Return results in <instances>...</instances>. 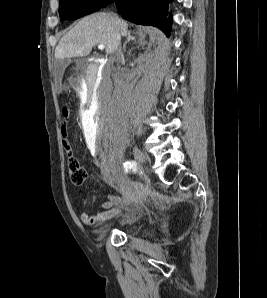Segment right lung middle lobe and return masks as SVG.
Masks as SVG:
<instances>
[{
  "mask_svg": "<svg viewBox=\"0 0 267 298\" xmlns=\"http://www.w3.org/2000/svg\"><path fill=\"white\" fill-rule=\"evenodd\" d=\"M106 0H60L59 15L61 20H75L101 8Z\"/></svg>",
  "mask_w": 267,
  "mask_h": 298,
  "instance_id": "right-lung-middle-lobe-1",
  "label": "right lung middle lobe"
}]
</instances>
